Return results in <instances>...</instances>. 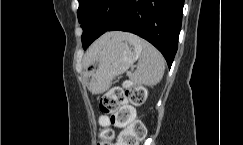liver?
Returning <instances> with one entry per match:
<instances>
[{
    "label": "liver",
    "instance_id": "6515ba94",
    "mask_svg": "<svg viewBox=\"0 0 243 145\" xmlns=\"http://www.w3.org/2000/svg\"><path fill=\"white\" fill-rule=\"evenodd\" d=\"M110 36V33L105 34L104 36H102L98 41H96L90 48L89 52L87 53V59L89 60V58L92 56L93 52L96 51L98 49V47L106 40L108 39Z\"/></svg>",
    "mask_w": 243,
    "mask_h": 145
}]
</instances>
